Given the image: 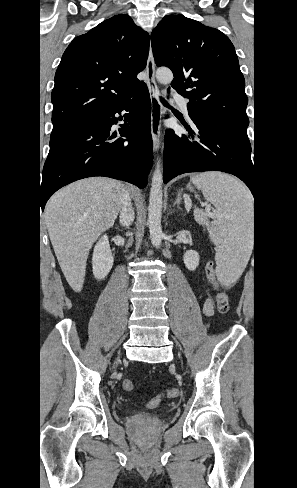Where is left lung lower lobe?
<instances>
[{"label":"left lung lower lobe","instance_id":"left-lung-lower-lobe-1","mask_svg":"<svg viewBox=\"0 0 297 488\" xmlns=\"http://www.w3.org/2000/svg\"><path fill=\"white\" fill-rule=\"evenodd\" d=\"M187 124L188 135L166 130L164 148V183L187 172L222 171L240 178L254 193V165L248 137L218 127Z\"/></svg>","mask_w":297,"mask_h":488}]
</instances>
